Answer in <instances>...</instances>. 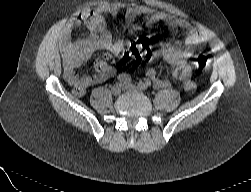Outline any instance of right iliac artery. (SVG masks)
<instances>
[{"label":"right iliac artery","mask_w":251,"mask_h":192,"mask_svg":"<svg viewBox=\"0 0 251 192\" xmlns=\"http://www.w3.org/2000/svg\"><path fill=\"white\" fill-rule=\"evenodd\" d=\"M117 80L121 83V84H126V83H130L131 82V77L128 74H120L117 77Z\"/></svg>","instance_id":"right-iliac-artery-1"}]
</instances>
